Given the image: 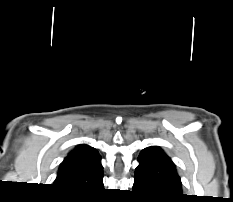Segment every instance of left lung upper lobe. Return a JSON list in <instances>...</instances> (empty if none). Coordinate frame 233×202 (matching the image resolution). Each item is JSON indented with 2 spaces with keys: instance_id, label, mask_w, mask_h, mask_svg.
<instances>
[{
  "instance_id": "5c2ea615",
  "label": "left lung upper lobe",
  "mask_w": 233,
  "mask_h": 202,
  "mask_svg": "<svg viewBox=\"0 0 233 202\" xmlns=\"http://www.w3.org/2000/svg\"><path fill=\"white\" fill-rule=\"evenodd\" d=\"M135 176L141 177L152 188L182 195L181 180L175 164L160 147L145 148L138 157ZM183 196V195H182Z\"/></svg>"
}]
</instances>
